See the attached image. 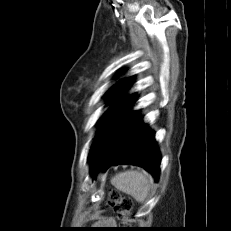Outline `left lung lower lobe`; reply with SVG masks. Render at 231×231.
<instances>
[{
	"instance_id": "left-lung-lower-lobe-1",
	"label": "left lung lower lobe",
	"mask_w": 231,
	"mask_h": 231,
	"mask_svg": "<svg viewBox=\"0 0 231 231\" xmlns=\"http://www.w3.org/2000/svg\"><path fill=\"white\" fill-rule=\"evenodd\" d=\"M131 101L106 127L93 146L89 161L91 173L107 170L112 165L132 164L159 178L161 155L155 133L131 111Z\"/></svg>"
}]
</instances>
